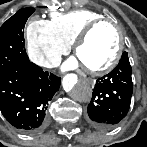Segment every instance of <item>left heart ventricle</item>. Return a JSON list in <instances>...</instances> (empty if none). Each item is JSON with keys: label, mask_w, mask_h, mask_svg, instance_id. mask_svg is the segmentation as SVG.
<instances>
[{"label": "left heart ventricle", "mask_w": 147, "mask_h": 147, "mask_svg": "<svg viewBox=\"0 0 147 147\" xmlns=\"http://www.w3.org/2000/svg\"><path fill=\"white\" fill-rule=\"evenodd\" d=\"M117 42V33L111 26H99L79 48L77 59L83 67H101L111 60Z\"/></svg>", "instance_id": "1"}]
</instances>
